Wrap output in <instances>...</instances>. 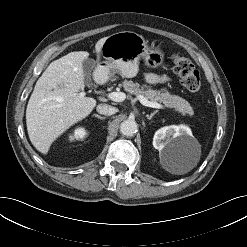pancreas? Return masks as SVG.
I'll return each mask as SVG.
<instances>
[{"label":"pancreas","mask_w":247,"mask_h":247,"mask_svg":"<svg viewBox=\"0 0 247 247\" xmlns=\"http://www.w3.org/2000/svg\"><path fill=\"white\" fill-rule=\"evenodd\" d=\"M123 87L124 90L130 94H134L136 96L142 95L152 102H160L166 107L174 108L183 116H192L194 114L192 107L185 99L180 96L170 94L166 88L161 90L145 89L144 87H141L139 83H134L131 80H125L123 82Z\"/></svg>","instance_id":"obj_1"}]
</instances>
